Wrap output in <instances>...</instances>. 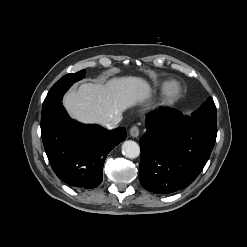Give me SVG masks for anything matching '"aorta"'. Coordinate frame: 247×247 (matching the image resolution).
Segmentation results:
<instances>
[{
    "label": "aorta",
    "instance_id": "aorta-1",
    "mask_svg": "<svg viewBox=\"0 0 247 247\" xmlns=\"http://www.w3.org/2000/svg\"><path fill=\"white\" fill-rule=\"evenodd\" d=\"M122 153L125 157L134 159L140 155V147L135 141L127 140L122 144Z\"/></svg>",
    "mask_w": 247,
    "mask_h": 247
}]
</instances>
